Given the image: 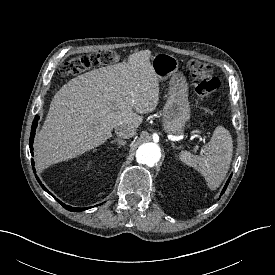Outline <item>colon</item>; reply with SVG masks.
<instances>
[{"mask_svg":"<svg viewBox=\"0 0 275 275\" xmlns=\"http://www.w3.org/2000/svg\"><path fill=\"white\" fill-rule=\"evenodd\" d=\"M118 55L111 50L84 54L73 58L60 67L63 75H77L91 68H98L115 63ZM187 70L192 78L196 93L203 99L209 98L220 86L219 79L214 75L213 66L207 62L190 60Z\"/></svg>","mask_w":275,"mask_h":275,"instance_id":"colon-1","label":"colon"}]
</instances>
